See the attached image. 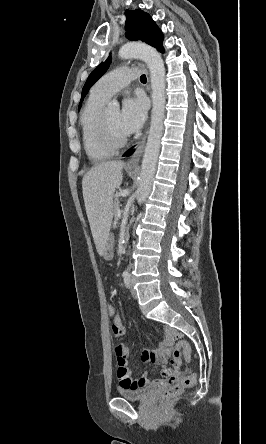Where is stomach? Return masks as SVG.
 I'll list each match as a JSON object with an SVG mask.
<instances>
[{
	"mask_svg": "<svg viewBox=\"0 0 266 444\" xmlns=\"http://www.w3.org/2000/svg\"><path fill=\"white\" fill-rule=\"evenodd\" d=\"M129 170L132 171V169ZM113 242L112 236H109L106 240L103 256L107 260H110L113 257Z\"/></svg>",
	"mask_w": 266,
	"mask_h": 444,
	"instance_id": "1",
	"label": "stomach"
}]
</instances>
